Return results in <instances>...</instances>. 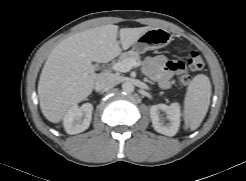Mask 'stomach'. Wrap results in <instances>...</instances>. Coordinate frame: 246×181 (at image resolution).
Returning <instances> with one entry per match:
<instances>
[{"label":"stomach","mask_w":246,"mask_h":181,"mask_svg":"<svg viewBox=\"0 0 246 181\" xmlns=\"http://www.w3.org/2000/svg\"><path fill=\"white\" fill-rule=\"evenodd\" d=\"M171 41V34L161 28H152L146 31L134 44L133 50L144 53L150 49L166 46Z\"/></svg>","instance_id":"1"}]
</instances>
